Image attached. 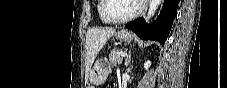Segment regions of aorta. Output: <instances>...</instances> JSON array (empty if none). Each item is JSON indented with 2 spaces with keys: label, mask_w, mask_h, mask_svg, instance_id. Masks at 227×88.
Segmentation results:
<instances>
[{
  "label": "aorta",
  "mask_w": 227,
  "mask_h": 88,
  "mask_svg": "<svg viewBox=\"0 0 227 88\" xmlns=\"http://www.w3.org/2000/svg\"><path fill=\"white\" fill-rule=\"evenodd\" d=\"M162 0H151L149 5V10L146 16V20L151 19L153 17L158 9V7L161 5Z\"/></svg>",
  "instance_id": "1"
}]
</instances>
